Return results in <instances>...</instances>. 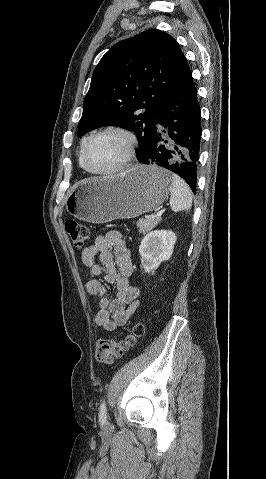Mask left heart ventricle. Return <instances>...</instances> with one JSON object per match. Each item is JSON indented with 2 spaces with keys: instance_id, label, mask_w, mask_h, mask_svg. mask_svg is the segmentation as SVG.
<instances>
[{
  "instance_id": "b2bd125f",
  "label": "left heart ventricle",
  "mask_w": 266,
  "mask_h": 479,
  "mask_svg": "<svg viewBox=\"0 0 266 479\" xmlns=\"http://www.w3.org/2000/svg\"><path fill=\"white\" fill-rule=\"evenodd\" d=\"M126 139L115 133H106L95 138L88 151L87 162L95 170L104 171L116 166L123 158Z\"/></svg>"
}]
</instances>
